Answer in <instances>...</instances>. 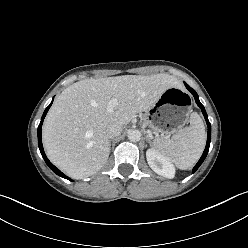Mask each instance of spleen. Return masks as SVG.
<instances>
[{
  "label": "spleen",
  "mask_w": 248,
  "mask_h": 248,
  "mask_svg": "<svg viewBox=\"0 0 248 248\" xmlns=\"http://www.w3.org/2000/svg\"><path fill=\"white\" fill-rule=\"evenodd\" d=\"M206 143V132L201 117L193 112L190 125L179 130L168 140H154L153 147L176 167L185 170L195 165Z\"/></svg>",
  "instance_id": "3e777b00"
}]
</instances>
